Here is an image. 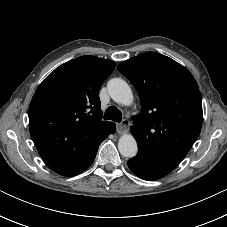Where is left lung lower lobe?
<instances>
[{
	"instance_id": "1",
	"label": "left lung lower lobe",
	"mask_w": 227,
	"mask_h": 227,
	"mask_svg": "<svg viewBox=\"0 0 227 227\" xmlns=\"http://www.w3.org/2000/svg\"><path fill=\"white\" fill-rule=\"evenodd\" d=\"M127 164L135 175L150 181L158 180L176 168L175 165L156 161L142 153H138L137 156L131 158Z\"/></svg>"
}]
</instances>
